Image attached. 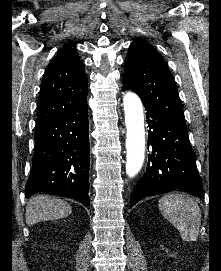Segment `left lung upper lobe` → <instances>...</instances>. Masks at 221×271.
Segmentation results:
<instances>
[{
  "mask_svg": "<svg viewBox=\"0 0 221 271\" xmlns=\"http://www.w3.org/2000/svg\"><path fill=\"white\" fill-rule=\"evenodd\" d=\"M123 88L136 92L144 105L186 126L174 78L154 47L136 39L124 61Z\"/></svg>",
  "mask_w": 221,
  "mask_h": 271,
  "instance_id": "1",
  "label": "left lung upper lobe"
}]
</instances>
